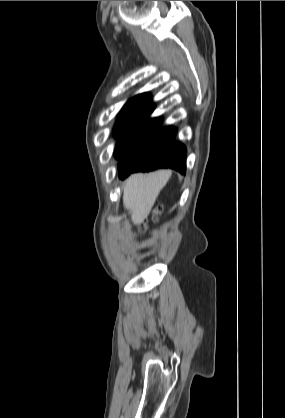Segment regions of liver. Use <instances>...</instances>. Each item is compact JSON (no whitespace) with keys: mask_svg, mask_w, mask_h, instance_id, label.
I'll list each match as a JSON object with an SVG mask.
<instances>
[{"mask_svg":"<svg viewBox=\"0 0 285 418\" xmlns=\"http://www.w3.org/2000/svg\"><path fill=\"white\" fill-rule=\"evenodd\" d=\"M171 175L170 170H158L148 174L137 173L128 178L123 191V205L131 213L134 223L147 218Z\"/></svg>","mask_w":285,"mask_h":418,"instance_id":"liver-1","label":"liver"}]
</instances>
